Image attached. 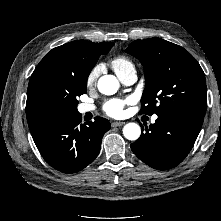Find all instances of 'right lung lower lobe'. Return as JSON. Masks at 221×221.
I'll use <instances>...</instances> for the list:
<instances>
[{"label":"right lung lower lobe","instance_id":"obj_1","mask_svg":"<svg viewBox=\"0 0 221 221\" xmlns=\"http://www.w3.org/2000/svg\"><path fill=\"white\" fill-rule=\"evenodd\" d=\"M81 125L80 113L54 111L28 120L33 140L45 161L63 173H75L99 154L107 119L95 117Z\"/></svg>","mask_w":221,"mask_h":221}]
</instances>
